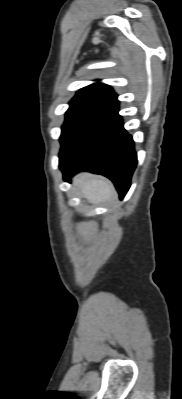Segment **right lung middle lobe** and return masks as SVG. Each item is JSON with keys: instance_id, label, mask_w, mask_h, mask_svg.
<instances>
[{"instance_id": "1", "label": "right lung middle lobe", "mask_w": 182, "mask_h": 399, "mask_svg": "<svg viewBox=\"0 0 182 399\" xmlns=\"http://www.w3.org/2000/svg\"><path fill=\"white\" fill-rule=\"evenodd\" d=\"M105 106L106 104L101 101L85 97H74L71 100L70 107L66 112V120L62 126L60 141L62 142L66 136L83 120L101 110Z\"/></svg>"}]
</instances>
